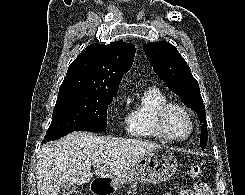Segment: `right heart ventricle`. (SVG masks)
Masks as SVG:
<instances>
[{
    "mask_svg": "<svg viewBox=\"0 0 245 195\" xmlns=\"http://www.w3.org/2000/svg\"><path fill=\"white\" fill-rule=\"evenodd\" d=\"M167 96L157 87L145 88L137 101L129 105L126 124L131 137L139 139H162L153 125L156 109L168 102Z\"/></svg>",
    "mask_w": 245,
    "mask_h": 195,
    "instance_id": "right-heart-ventricle-1",
    "label": "right heart ventricle"
}]
</instances>
